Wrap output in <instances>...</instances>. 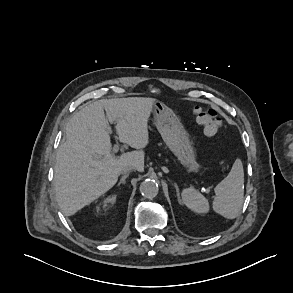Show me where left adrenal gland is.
<instances>
[{"mask_svg": "<svg viewBox=\"0 0 293 293\" xmlns=\"http://www.w3.org/2000/svg\"><path fill=\"white\" fill-rule=\"evenodd\" d=\"M174 186H175V188H176L178 201L180 202V192H179V188H178L177 184H174Z\"/></svg>", "mask_w": 293, "mask_h": 293, "instance_id": "left-adrenal-gland-1", "label": "left adrenal gland"}]
</instances>
